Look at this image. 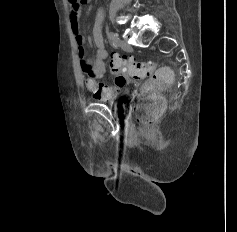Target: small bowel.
<instances>
[{
	"label": "small bowel",
	"mask_w": 237,
	"mask_h": 232,
	"mask_svg": "<svg viewBox=\"0 0 237 232\" xmlns=\"http://www.w3.org/2000/svg\"><path fill=\"white\" fill-rule=\"evenodd\" d=\"M70 4V24L75 36L80 68L81 71L87 76L85 79V85L87 89L93 93L96 99L110 100L115 97L116 90L104 83L98 82L106 71L105 60L108 57V52L105 49L102 36L101 20L98 18L93 27V41L97 47V53L95 57L90 58L85 55V38L81 34L80 30V5H76L71 2Z\"/></svg>",
	"instance_id": "obj_1"
}]
</instances>
